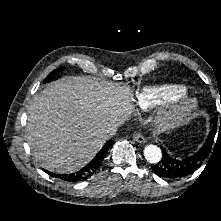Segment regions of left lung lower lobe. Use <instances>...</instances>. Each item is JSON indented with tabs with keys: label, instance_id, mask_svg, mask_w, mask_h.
Instances as JSON below:
<instances>
[{
	"label": "left lung lower lobe",
	"instance_id": "left-lung-lower-lobe-1",
	"mask_svg": "<svg viewBox=\"0 0 221 221\" xmlns=\"http://www.w3.org/2000/svg\"><path fill=\"white\" fill-rule=\"evenodd\" d=\"M203 147L194 155L179 158L171 155L161 146L162 158L151 168L154 173L161 178L177 179L186 177L193 173L201 165L210 152V145H206L205 143Z\"/></svg>",
	"mask_w": 221,
	"mask_h": 221
}]
</instances>
